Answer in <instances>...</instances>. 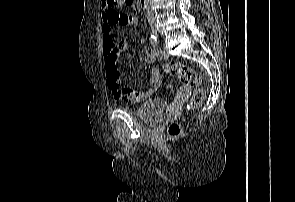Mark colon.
Here are the masks:
<instances>
[{
    "label": "colon",
    "mask_w": 295,
    "mask_h": 202,
    "mask_svg": "<svg viewBox=\"0 0 295 202\" xmlns=\"http://www.w3.org/2000/svg\"><path fill=\"white\" fill-rule=\"evenodd\" d=\"M110 7L114 8L117 4L131 6L133 0H106ZM129 17L121 15L120 24L127 25ZM163 70L167 74L177 76L184 85L194 89V93L189 103L190 108H195L203 101L205 90L202 88L201 76L192 68L175 61H169L163 64ZM118 74V72H117ZM168 134L171 137H178L182 134V128L177 123H172L168 127Z\"/></svg>",
    "instance_id": "5ec220e1"
}]
</instances>
